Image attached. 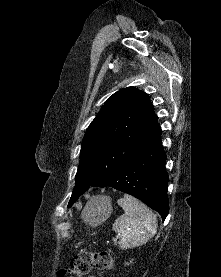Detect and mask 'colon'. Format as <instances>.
<instances>
[{
	"mask_svg": "<svg viewBox=\"0 0 221 277\" xmlns=\"http://www.w3.org/2000/svg\"><path fill=\"white\" fill-rule=\"evenodd\" d=\"M113 267V260L107 252H83L74 256L68 268L59 272L58 277H82L93 268L108 270Z\"/></svg>",
	"mask_w": 221,
	"mask_h": 277,
	"instance_id": "obj_1",
	"label": "colon"
}]
</instances>
